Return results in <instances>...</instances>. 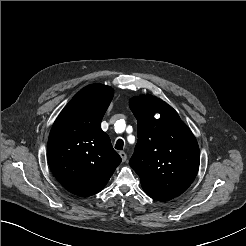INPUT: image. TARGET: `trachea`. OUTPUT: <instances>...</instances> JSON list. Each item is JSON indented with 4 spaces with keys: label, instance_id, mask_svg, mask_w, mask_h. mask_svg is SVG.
Segmentation results:
<instances>
[{
    "label": "trachea",
    "instance_id": "trachea-1",
    "mask_svg": "<svg viewBox=\"0 0 246 246\" xmlns=\"http://www.w3.org/2000/svg\"><path fill=\"white\" fill-rule=\"evenodd\" d=\"M124 146V142L122 139H118L116 144H115V149L117 150H122Z\"/></svg>",
    "mask_w": 246,
    "mask_h": 246
}]
</instances>
